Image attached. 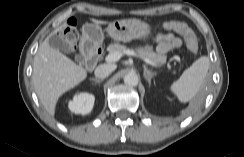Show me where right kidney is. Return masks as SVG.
Returning <instances> with one entry per match:
<instances>
[{
  "instance_id": "right-kidney-1",
  "label": "right kidney",
  "mask_w": 244,
  "mask_h": 157,
  "mask_svg": "<svg viewBox=\"0 0 244 157\" xmlns=\"http://www.w3.org/2000/svg\"><path fill=\"white\" fill-rule=\"evenodd\" d=\"M95 97L89 93H80L74 96L69 102L68 107L75 114L86 115L91 112L94 105Z\"/></svg>"
}]
</instances>
